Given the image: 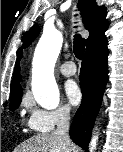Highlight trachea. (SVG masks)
Segmentation results:
<instances>
[{
  "label": "trachea",
  "instance_id": "1",
  "mask_svg": "<svg viewBox=\"0 0 123 152\" xmlns=\"http://www.w3.org/2000/svg\"><path fill=\"white\" fill-rule=\"evenodd\" d=\"M85 40L80 37L79 34L74 36L73 52L78 59H82L84 56Z\"/></svg>",
  "mask_w": 123,
  "mask_h": 152
}]
</instances>
